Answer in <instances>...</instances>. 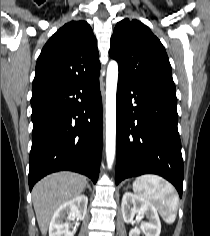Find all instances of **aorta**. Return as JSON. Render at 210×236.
Listing matches in <instances>:
<instances>
[{"mask_svg": "<svg viewBox=\"0 0 210 236\" xmlns=\"http://www.w3.org/2000/svg\"><path fill=\"white\" fill-rule=\"evenodd\" d=\"M118 64L112 60L108 64L106 78V158L111 168L116 151V91Z\"/></svg>", "mask_w": 210, "mask_h": 236, "instance_id": "obj_1", "label": "aorta"}]
</instances>
